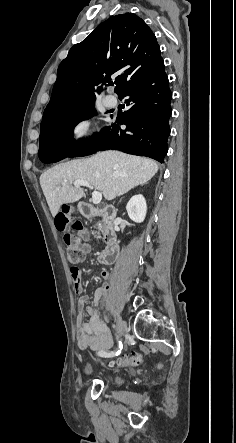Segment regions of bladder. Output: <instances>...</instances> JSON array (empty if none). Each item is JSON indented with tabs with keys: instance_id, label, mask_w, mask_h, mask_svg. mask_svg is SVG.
Segmentation results:
<instances>
[{
	"instance_id": "bladder-1",
	"label": "bladder",
	"mask_w": 236,
	"mask_h": 443,
	"mask_svg": "<svg viewBox=\"0 0 236 443\" xmlns=\"http://www.w3.org/2000/svg\"><path fill=\"white\" fill-rule=\"evenodd\" d=\"M111 380L114 382V383H116V384H120V383H122V378H120V377H118V376H113L112 378H111Z\"/></svg>"
}]
</instances>
